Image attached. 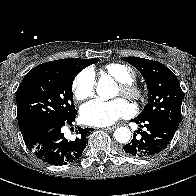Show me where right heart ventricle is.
Returning <instances> with one entry per match:
<instances>
[{"instance_id": "e07e8e85", "label": "right heart ventricle", "mask_w": 196, "mask_h": 196, "mask_svg": "<svg viewBox=\"0 0 196 196\" xmlns=\"http://www.w3.org/2000/svg\"><path fill=\"white\" fill-rule=\"evenodd\" d=\"M102 72L120 83L134 82L136 78L135 71L128 65L121 63H109Z\"/></svg>"}]
</instances>
